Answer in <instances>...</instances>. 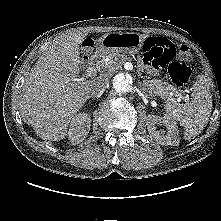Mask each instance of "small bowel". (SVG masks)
<instances>
[{"label": "small bowel", "mask_w": 221, "mask_h": 221, "mask_svg": "<svg viewBox=\"0 0 221 221\" xmlns=\"http://www.w3.org/2000/svg\"><path fill=\"white\" fill-rule=\"evenodd\" d=\"M152 40H153V44H158V43H162V41L165 39V38H161V37H150ZM148 39V38H147ZM144 65L147 69H150L151 68V64L149 62H147L145 59H144ZM153 67V66H152Z\"/></svg>", "instance_id": "c3829d8e"}]
</instances>
